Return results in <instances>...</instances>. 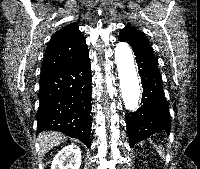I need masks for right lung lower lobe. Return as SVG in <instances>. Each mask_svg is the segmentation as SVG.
I'll list each match as a JSON object with an SVG mask.
<instances>
[{"label":"right lung lower lobe","instance_id":"obj_1","mask_svg":"<svg viewBox=\"0 0 200 169\" xmlns=\"http://www.w3.org/2000/svg\"><path fill=\"white\" fill-rule=\"evenodd\" d=\"M91 81L88 50L70 65L41 73L37 133L61 131L89 147Z\"/></svg>","mask_w":200,"mask_h":169}]
</instances>
